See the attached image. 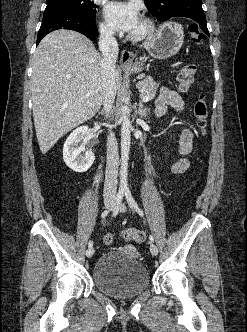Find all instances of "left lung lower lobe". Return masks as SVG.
<instances>
[{"label": "left lung lower lobe", "instance_id": "1", "mask_svg": "<svg viewBox=\"0 0 247 332\" xmlns=\"http://www.w3.org/2000/svg\"><path fill=\"white\" fill-rule=\"evenodd\" d=\"M193 22V24L199 29L203 31L202 38L205 39L209 36V31L206 24V17L199 18V17H184Z\"/></svg>", "mask_w": 247, "mask_h": 332}]
</instances>
